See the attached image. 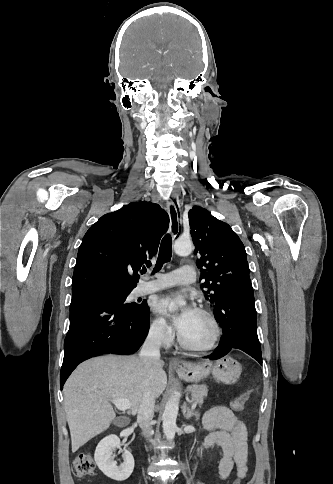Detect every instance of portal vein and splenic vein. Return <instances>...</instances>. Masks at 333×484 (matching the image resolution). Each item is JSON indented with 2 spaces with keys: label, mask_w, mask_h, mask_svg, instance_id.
Returning a JSON list of instances; mask_svg holds the SVG:
<instances>
[{
  "label": "portal vein and splenic vein",
  "mask_w": 333,
  "mask_h": 484,
  "mask_svg": "<svg viewBox=\"0 0 333 484\" xmlns=\"http://www.w3.org/2000/svg\"><path fill=\"white\" fill-rule=\"evenodd\" d=\"M116 407L118 410L120 411H126V410H129L131 408V402L129 399H113V400H110ZM197 406L196 403H194L192 405V409H195Z\"/></svg>",
  "instance_id": "portal-vein-and-splenic-vein-1"
}]
</instances>
